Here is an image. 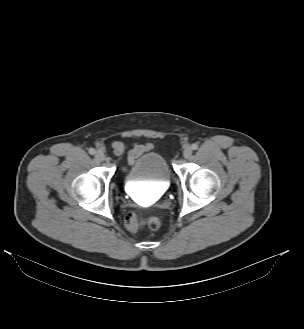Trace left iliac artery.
Wrapping results in <instances>:
<instances>
[{
  "label": "left iliac artery",
  "instance_id": "obj_1",
  "mask_svg": "<svg viewBox=\"0 0 304 329\" xmlns=\"http://www.w3.org/2000/svg\"><path fill=\"white\" fill-rule=\"evenodd\" d=\"M191 148H192V150H197L198 149V145L194 143V144H192Z\"/></svg>",
  "mask_w": 304,
  "mask_h": 329
}]
</instances>
